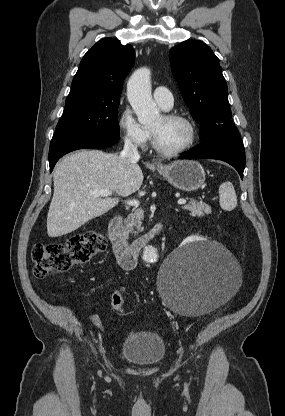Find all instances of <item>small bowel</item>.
Returning <instances> with one entry per match:
<instances>
[{
    "label": "small bowel",
    "mask_w": 285,
    "mask_h": 416,
    "mask_svg": "<svg viewBox=\"0 0 285 416\" xmlns=\"http://www.w3.org/2000/svg\"><path fill=\"white\" fill-rule=\"evenodd\" d=\"M89 322L94 325L95 327H97L99 330H103V324L102 321L100 319V317L98 315H91L89 317Z\"/></svg>",
    "instance_id": "1"
}]
</instances>
